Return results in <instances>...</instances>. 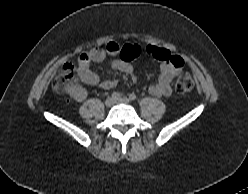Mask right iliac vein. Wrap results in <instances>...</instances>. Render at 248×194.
I'll return each mask as SVG.
<instances>
[{"mask_svg":"<svg viewBox=\"0 0 248 194\" xmlns=\"http://www.w3.org/2000/svg\"><path fill=\"white\" fill-rule=\"evenodd\" d=\"M113 104H114V100L111 97H109L105 100V106L106 107L110 108L111 106H113Z\"/></svg>","mask_w":248,"mask_h":194,"instance_id":"63e3f726","label":"right iliac vein"}]
</instances>
